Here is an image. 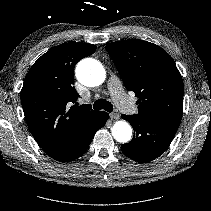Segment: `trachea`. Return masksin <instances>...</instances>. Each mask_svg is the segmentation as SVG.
Returning <instances> with one entry per match:
<instances>
[{
  "label": "trachea",
  "mask_w": 211,
  "mask_h": 211,
  "mask_svg": "<svg viewBox=\"0 0 211 211\" xmlns=\"http://www.w3.org/2000/svg\"><path fill=\"white\" fill-rule=\"evenodd\" d=\"M93 108L96 110L104 109L107 112L113 111V105L111 104V102L105 99H98L97 101H95V103L93 104Z\"/></svg>",
  "instance_id": "1"
}]
</instances>
